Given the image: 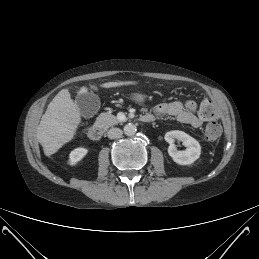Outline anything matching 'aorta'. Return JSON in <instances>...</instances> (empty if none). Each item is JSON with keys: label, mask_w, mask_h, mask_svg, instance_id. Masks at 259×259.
<instances>
[{"label": "aorta", "mask_w": 259, "mask_h": 259, "mask_svg": "<svg viewBox=\"0 0 259 259\" xmlns=\"http://www.w3.org/2000/svg\"><path fill=\"white\" fill-rule=\"evenodd\" d=\"M136 131H137V128L133 123H128L124 126V133L127 136L135 135Z\"/></svg>", "instance_id": "aorta-1"}]
</instances>
